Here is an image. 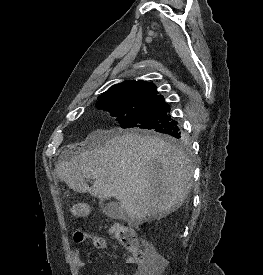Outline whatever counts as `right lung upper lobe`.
Returning <instances> with one entry per match:
<instances>
[{"instance_id": "right-lung-upper-lobe-1", "label": "right lung upper lobe", "mask_w": 263, "mask_h": 275, "mask_svg": "<svg viewBox=\"0 0 263 275\" xmlns=\"http://www.w3.org/2000/svg\"><path fill=\"white\" fill-rule=\"evenodd\" d=\"M116 92L126 93L132 97H162L161 95H157L158 92L156 90V86L152 82L148 83L143 80H129L116 84L102 95Z\"/></svg>"}]
</instances>
